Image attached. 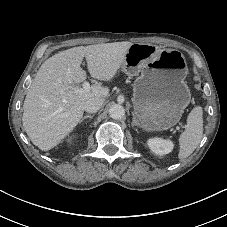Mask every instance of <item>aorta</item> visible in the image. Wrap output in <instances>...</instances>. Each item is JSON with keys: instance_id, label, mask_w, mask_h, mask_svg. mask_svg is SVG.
Segmentation results:
<instances>
[{"instance_id": "762f6f07", "label": "aorta", "mask_w": 227, "mask_h": 227, "mask_svg": "<svg viewBox=\"0 0 227 227\" xmlns=\"http://www.w3.org/2000/svg\"><path fill=\"white\" fill-rule=\"evenodd\" d=\"M109 115L112 119H121L125 115V109L120 104H114L109 109Z\"/></svg>"}]
</instances>
